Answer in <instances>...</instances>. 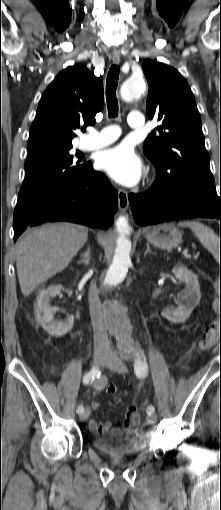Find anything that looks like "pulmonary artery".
<instances>
[{"label":"pulmonary artery","mask_w":221,"mask_h":510,"mask_svg":"<svg viewBox=\"0 0 221 510\" xmlns=\"http://www.w3.org/2000/svg\"><path fill=\"white\" fill-rule=\"evenodd\" d=\"M131 128H143L144 120L140 112H131L128 119ZM121 131L117 126L108 125L100 130L88 134L85 141L86 149H98L113 143L120 135Z\"/></svg>","instance_id":"obj_1"}]
</instances>
